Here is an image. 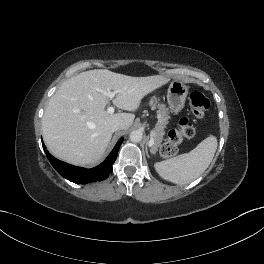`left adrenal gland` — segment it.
I'll list each match as a JSON object with an SVG mask.
<instances>
[{"label":"left adrenal gland","mask_w":264,"mask_h":264,"mask_svg":"<svg viewBox=\"0 0 264 264\" xmlns=\"http://www.w3.org/2000/svg\"><path fill=\"white\" fill-rule=\"evenodd\" d=\"M146 154H147V156H148V147H147V145H146Z\"/></svg>","instance_id":"a2214340"}]
</instances>
